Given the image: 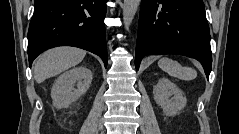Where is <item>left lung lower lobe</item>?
<instances>
[{"label":"left lung lower lobe","instance_id":"0a47b994","mask_svg":"<svg viewBox=\"0 0 239 134\" xmlns=\"http://www.w3.org/2000/svg\"><path fill=\"white\" fill-rule=\"evenodd\" d=\"M179 54L195 58L209 78L210 31L203 0H142L135 67L146 55Z\"/></svg>","mask_w":239,"mask_h":134}]
</instances>
